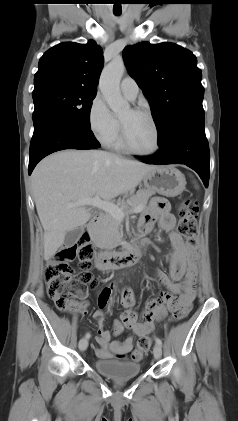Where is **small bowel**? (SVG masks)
Instances as JSON below:
<instances>
[{"mask_svg": "<svg viewBox=\"0 0 238 421\" xmlns=\"http://www.w3.org/2000/svg\"><path fill=\"white\" fill-rule=\"evenodd\" d=\"M156 221H159L160 227L169 234L172 246V252L169 255V276L160 270L155 273L157 281L164 289L146 304L140 314L132 310L135 298L130 288L112 283L102 289L98 299V309L93 315L98 326V335L95 338L97 345L94 346V350L100 358L123 356L133 347L132 337H128L123 342L111 341V333L104 328L105 310L115 292L120 294L124 312L120 319L113 323V334L119 335L128 328L139 337L150 334L156 323L163 320L169 310H173L177 305L191 306L195 298L197 259L194 248L174 231L175 217L170 212L167 201L160 197L154 198L142 214L139 220L141 233L150 232Z\"/></svg>", "mask_w": 238, "mask_h": 421, "instance_id": "c3829d8e", "label": "small bowel"}]
</instances>
